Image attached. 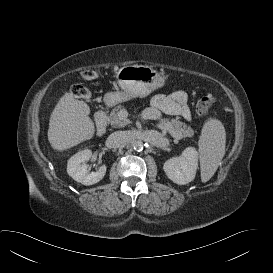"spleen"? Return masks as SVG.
I'll return each instance as SVG.
<instances>
[{"label": "spleen", "instance_id": "spleen-1", "mask_svg": "<svg viewBox=\"0 0 273 273\" xmlns=\"http://www.w3.org/2000/svg\"><path fill=\"white\" fill-rule=\"evenodd\" d=\"M198 146L201 181L205 183L214 175L225 155L226 132L220 120L209 118L204 123Z\"/></svg>", "mask_w": 273, "mask_h": 273}]
</instances>
